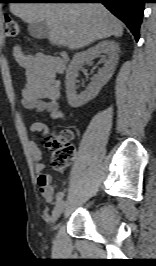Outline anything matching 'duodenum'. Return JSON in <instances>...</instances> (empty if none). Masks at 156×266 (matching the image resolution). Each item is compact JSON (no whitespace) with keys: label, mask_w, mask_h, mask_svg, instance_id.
Returning <instances> with one entry per match:
<instances>
[{"label":"duodenum","mask_w":156,"mask_h":266,"mask_svg":"<svg viewBox=\"0 0 156 266\" xmlns=\"http://www.w3.org/2000/svg\"><path fill=\"white\" fill-rule=\"evenodd\" d=\"M68 60V55L66 53H63L61 55V58L59 60H57L56 62V69L57 71H61L64 67V64L67 62Z\"/></svg>","instance_id":"410a0bca"}]
</instances>
